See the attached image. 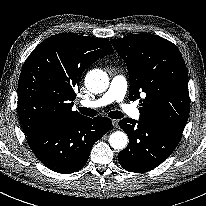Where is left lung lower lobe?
Instances as JSON below:
<instances>
[{
	"instance_id": "1",
	"label": "left lung lower lobe",
	"mask_w": 206,
	"mask_h": 206,
	"mask_svg": "<svg viewBox=\"0 0 206 206\" xmlns=\"http://www.w3.org/2000/svg\"><path fill=\"white\" fill-rule=\"evenodd\" d=\"M119 126L129 137L119 152L120 165L129 172H147L165 161L178 145L182 132L177 129L124 118Z\"/></svg>"
}]
</instances>
